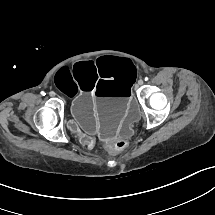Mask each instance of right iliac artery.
Listing matches in <instances>:
<instances>
[{
    "label": "right iliac artery",
    "instance_id": "obj_1",
    "mask_svg": "<svg viewBox=\"0 0 215 215\" xmlns=\"http://www.w3.org/2000/svg\"><path fill=\"white\" fill-rule=\"evenodd\" d=\"M41 95H42V96H45L46 93H45L44 91H41Z\"/></svg>",
    "mask_w": 215,
    "mask_h": 215
}]
</instances>
